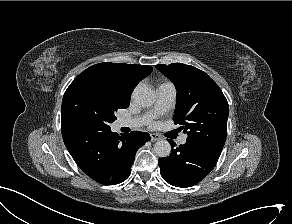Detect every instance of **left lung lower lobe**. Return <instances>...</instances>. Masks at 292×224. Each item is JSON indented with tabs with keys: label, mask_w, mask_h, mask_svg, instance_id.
<instances>
[{
	"label": "left lung lower lobe",
	"mask_w": 292,
	"mask_h": 224,
	"mask_svg": "<svg viewBox=\"0 0 292 224\" xmlns=\"http://www.w3.org/2000/svg\"><path fill=\"white\" fill-rule=\"evenodd\" d=\"M168 141L172 151L168 157L159 158L158 165L163 179L175 187L200 182L215 167L221 154L188 141L177 147L175 142Z\"/></svg>",
	"instance_id": "left-lung-lower-lobe-1"
}]
</instances>
